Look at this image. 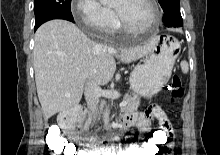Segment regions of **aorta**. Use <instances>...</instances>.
Wrapping results in <instances>:
<instances>
[{"label":"aorta","mask_w":220,"mask_h":155,"mask_svg":"<svg viewBox=\"0 0 220 155\" xmlns=\"http://www.w3.org/2000/svg\"><path fill=\"white\" fill-rule=\"evenodd\" d=\"M100 2L104 5L112 4L114 0H100ZM105 126L108 128V122H109V109L105 112Z\"/></svg>","instance_id":"1"}]
</instances>
